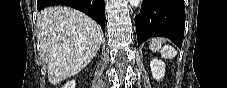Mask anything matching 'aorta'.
<instances>
[{"mask_svg":"<svg viewBox=\"0 0 227 88\" xmlns=\"http://www.w3.org/2000/svg\"><path fill=\"white\" fill-rule=\"evenodd\" d=\"M130 2V5L133 7V8H136L140 5L141 3V0H129Z\"/></svg>","mask_w":227,"mask_h":88,"instance_id":"aorta-1","label":"aorta"}]
</instances>
